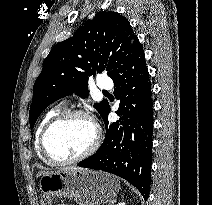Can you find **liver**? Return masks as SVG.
Returning <instances> with one entry per match:
<instances>
[{"mask_svg": "<svg viewBox=\"0 0 212 205\" xmlns=\"http://www.w3.org/2000/svg\"><path fill=\"white\" fill-rule=\"evenodd\" d=\"M64 169H77V170H83V168H77V167H70V168H64ZM41 174H46V173H38L37 176H40Z\"/></svg>", "mask_w": 212, "mask_h": 205, "instance_id": "1", "label": "liver"}]
</instances>
